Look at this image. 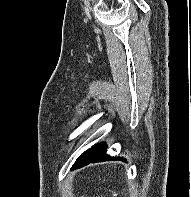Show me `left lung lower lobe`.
I'll return each mask as SVG.
<instances>
[{
	"instance_id": "1",
	"label": "left lung lower lobe",
	"mask_w": 191,
	"mask_h": 197,
	"mask_svg": "<svg viewBox=\"0 0 191 197\" xmlns=\"http://www.w3.org/2000/svg\"><path fill=\"white\" fill-rule=\"evenodd\" d=\"M106 149L107 145L101 143L93 146L92 148H89L87 151H85L78 157L71 169L74 170L77 168H81L89 163L105 161L110 159L125 161V159L122 157L114 158L109 156L108 154H106Z\"/></svg>"
}]
</instances>
